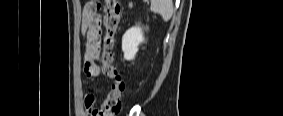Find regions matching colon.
<instances>
[{"label":"colon","mask_w":283,"mask_h":116,"mask_svg":"<svg viewBox=\"0 0 283 116\" xmlns=\"http://www.w3.org/2000/svg\"><path fill=\"white\" fill-rule=\"evenodd\" d=\"M121 23V6L117 0H105L103 51L100 56L105 77L110 81V90L100 109L102 116H116L121 111V96L125 89L122 75L114 62L112 49L115 35ZM94 115V113L89 114Z\"/></svg>","instance_id":"1"}]
</instances>
